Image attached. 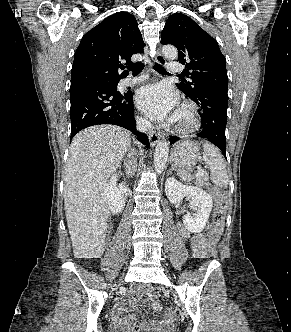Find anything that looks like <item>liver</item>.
Listing matches in <instances>:
<instances>
[{"label": "liver", "mask_w": 291, "mask_h": 332, "mask_svg": "<svg viewBox=\"0 0 291 332\" xmlns=\"http://www.w3.org/2000/svg\"><path fill=\"white\" fill-rule=\"evenodd\" d=\"M130 145V133L112 125L86 128L71 142L64 209L76 258L103 255L110 214L104 191Z\"/></svg>", "instance_id": "liver-1"}]
</instances>
